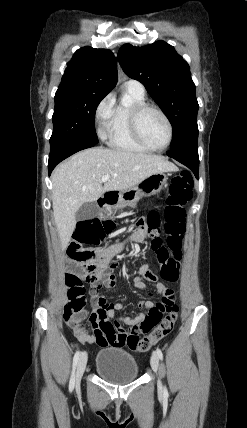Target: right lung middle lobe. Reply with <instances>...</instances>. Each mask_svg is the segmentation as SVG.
Here are the masks:
<instances>
[{"label":"right lung middle lobe","mask_w":247,"mask_h":428,"mask_svg":"<svg viewBox=\"0 0 247 428\" xmlns=\"http://www.w3.org/2000/svg\"><path fill=\"white\" fill-rule=\"evenodd\" d=\"M105 94L74 91L55 94V109L52 117L53 133L50 145L83 143L96 145V109Z\"/></svg>","instance_id":"obj_1"}]
</instances>
